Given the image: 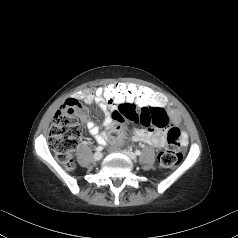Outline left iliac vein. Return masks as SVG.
Masks as SVG:
<instances>
[{"label": "left iliac vein", "instance_id": "left-iliac-vein-1", "mask_svg": "<svg viewBox=\"0 0 238 238\" xmlns=\"http://www.w3.org/2000/svg\"><path fill=\"white\" fill-rule=\"evenodd\" d=\"M123 153L131 160H135L136 159V155L131 152V151H123Z\"/></svg>", "mask_w": 238, "mask_h": 238}]
</instances>
